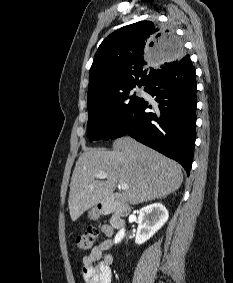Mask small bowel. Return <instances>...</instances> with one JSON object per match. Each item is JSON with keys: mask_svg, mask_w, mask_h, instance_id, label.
Instances as JSON below:
<instances>
[{"mask_svg": "<svg viewBox=\"0 0 233 283\" xmlns=\"http://www.w3.org/2000/svg\"><path fill=\"white\" fill-rule=\"evenodd\" d=\"M103 233L110 237L112 229L109 226H103ZM113 243L111 239H106L96 245L89 254L82 260V277L85 283H111L113 256L106 253Z\"/></svg>", "mask_w": 233, "mask_h": 283, "instance_id": "c3829d8e", "label": "small bowel"}]
</instances>
